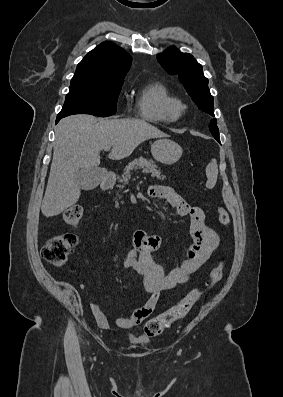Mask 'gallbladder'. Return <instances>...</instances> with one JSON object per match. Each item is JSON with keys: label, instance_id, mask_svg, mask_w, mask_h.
<instances>
[{"label": "gallbladder", "instance_id": "1", "mask_svg": "<svg viewBox=\"0 0 283 397\" xmlns=\"http://www.w3.org/2000/svg\"><path fill=\"white\" fill-rule=\"evenodd\" d=\"M103 175L102 169L82 168L77 172L76 177L82 189L93 190L100 184Z\"/></svg>", "mask_w": 283, "mask_h": 397}]
</instances>
